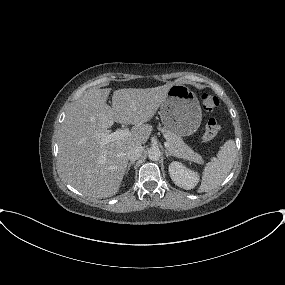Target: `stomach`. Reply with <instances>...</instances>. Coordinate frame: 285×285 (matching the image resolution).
I'll return each instance as SVG.
<instances>
[{
  "label": "stomach",
  "mask_w": 285,
  "mask_h": 285,
  "mask_svg": "<svg viewBox=\"0 0 285 285\" xmlns=\"http://www.w3.org/2000/svg\"><path fill=\"white\" fill-rule=\"evenodd\" d=\"M159 114L164 128L179 136L193 134L202 119L198 98L182 84H174L169 89Z\"/></svg>",
  "instance_id": "obj_1"
}]
</instances>
